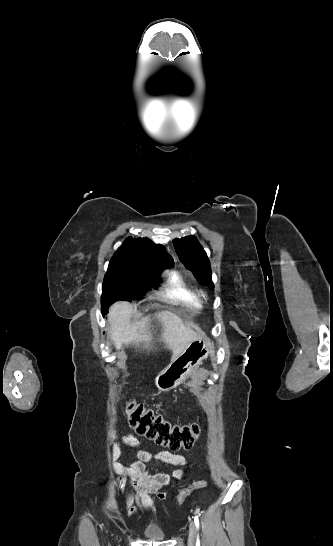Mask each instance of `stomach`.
Returning <instances> with one entry per match:
<instances>
[{"label":"stomach","instance_id":"0dacf381","mask_svg":"<svg viewBox=\"0 0 333 546\" xmlns=\"http://www.w3.org/2000/svg\"><path fill=\"white\" fill-rule=\"evenodd\" d=\"M210 351V343L205 339L199 338L191 342L157 375L155 383L158 389L167 391L181 384L203 363Z\"/></svg>","mask_w":333,"mask_h":546}]
</instances>
